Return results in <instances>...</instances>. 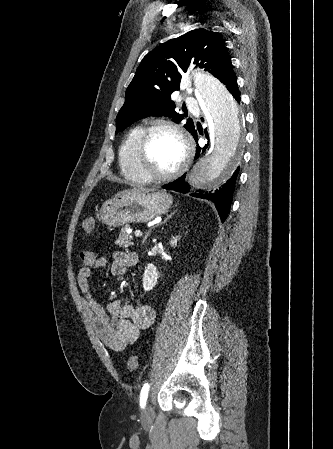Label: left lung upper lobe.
Segmentation results:
<instances>
[{
  "label": "left lung upper lobe",
  "mask_w": 333,
  "mask_h": 449,
  "mask_svg": "<svg viewBox=\"0 0 333 449\" xmlns=\"http://www.w3.org/2000/svg\"><path fill=\"white\" fill-rule=\"evenodd\" d=\"M190 63L205 68L221 82L232 72L225 42L206 29H195L165 42L148 53L137 68L116 117V133L148 116H170L175 122L183 120L170 97L179 90L181 74ZM184 127L190 133L196 131L190 118Z\"/></svg>",
  "instance_id": "5c2ea615"
}]
</instances>
